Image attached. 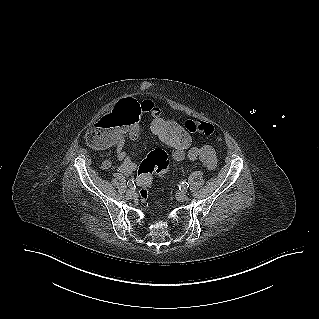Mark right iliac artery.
<instances>
[{
	"label": "right iliac artery",
	"mask_w": 319,
	"mask_h": 319,
	"mask_svg": "<svg viewBox=\"0 0 319 319\" xmlns=\"http://www.w3.org/2000/svg\"><path fill=\"white\" fill-rule=\"evenodd\" d=\"M127 185H128L129 187L135 186L133 179H132V180L130 179V180L127 182Z\"/></svg>",
	"instance_id": "82829eb1"
}]
</instances>
